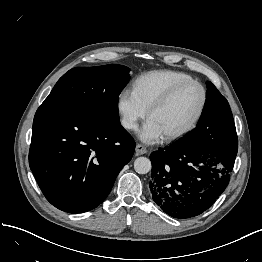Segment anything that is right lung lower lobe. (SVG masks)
Wrapping results in <instances>:
<instances>
[{
  "label": "right lung lower lobe",
  "instance_id": "98d812e1",
  "mask_svg": "<svg viewBox=\"0 0 262 262\" xmlns=\"http://www.w3.org/2000/svg\"><path fill=\"white\" fill-rule=\"evenodd\" d=\"M134 150L135 143L119 122L41 105L33 121L29 165L52 205L82 213L105 200Z\"/></svg>",
  "mask_w": 262,
  "mask_h": 262
}]
</instances>
